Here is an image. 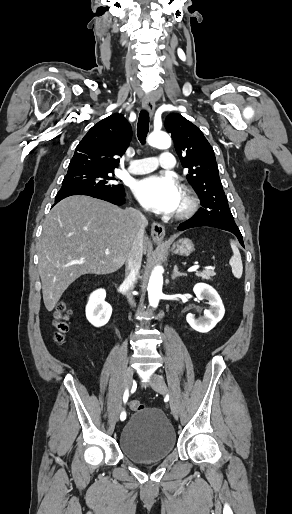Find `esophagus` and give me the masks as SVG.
<instances>
[{
    "instance_id": "34e87169",
    "label": "esophagus",
    "mask_w": 292,
    "mask_h": 514,
    "mask_svg": "<svg viewBox=\"0 0 292 514\" xmlns=\"http://www.w3.org/2000/svg\"><path fill=\"white\" fill-rule=\"evenodd\" d=\"M142 106L152 116L155 111V100L146 95L142 100ZM151 237L155 242H162L165 237V227L157 222L152 223Z\"/></svg>"
}]
</instances>
